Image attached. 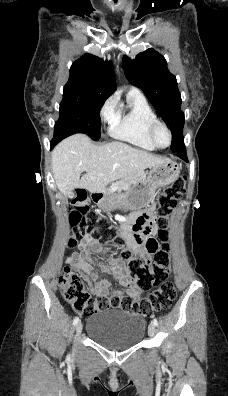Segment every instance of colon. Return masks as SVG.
<instances>
[{"label":"colon","instance_id":"obj_1","mask_svg":"<svg viewBox=\"0 0 228 396\" xmlns=\"http://www.w3.org/2000/svg\"><path fill=\"white\" fill-rule=\"evenodd\" d=\"M187 177L182 176L167 186L157 198L155 213L144 212L133 225L135 242L142 248L141 254L123 252L117 259L123 263L132 280L142 290H149L152 285L156 289L139 300L130 295H113L110 297L97 296L95 298L86 290L85 280L68 266L59 274V287L63 299L79 314L92 315L97 312L118 308L145 316L167 309L175 298L173 285L165 279V273L170 268L168 220L179 198L185 192ZM158 221V237L160 244L150 237L153 221ZM69 221L73 226V234L69 245L82 243L89 236L97 239L105 228V222L90 212L87 193L78 190L73 199V209L69 214ZM147 255H154L153 260Z\"/></svg>","mask_w":228,"mask_h":396}]
</instances>
